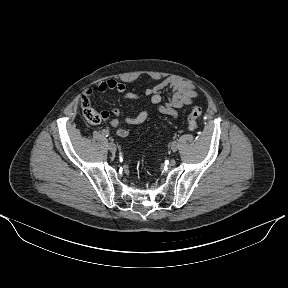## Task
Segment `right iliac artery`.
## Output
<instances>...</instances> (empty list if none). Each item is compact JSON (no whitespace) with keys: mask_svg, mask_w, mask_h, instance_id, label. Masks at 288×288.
<instances>
[{"mask_svg":"<svg viewBox=\"0 0 288 288\" xmlns=\"http://www.w3.org/2000/svg\"><path fill=\"white\" fill-rule=\"evenodd\" d=\"M102 134H103L105 137H108V136H109V131H108V130H103V131H102Z\"/></svg>","mask_w":288,"mask_h":288,"instance_id":"1","label":"right iliac artery"}]
</instances>
